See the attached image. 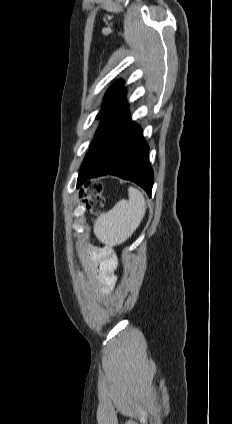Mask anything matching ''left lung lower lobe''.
Wrapping results in <instances>:
<instances>
[{"instance_id": "0a47b994", "label": "left lung lower lobe", "mask_w": 232, "mask_h": 424, "mask_svg": "<svg viewBox=\"0 0 232 424\" xmlns=\"http://www.w3.org/2000/svg\"><path fill=\"white\" fill-rule=\"evenodd\" d=\"M149 147L141 128L132 123L127 110L111 120L93 141L79 172L77 187L92 177L112 174L140 185L151 196L153 171Z\"/></svg>"}]
</instances>
